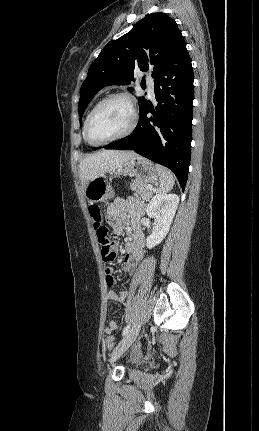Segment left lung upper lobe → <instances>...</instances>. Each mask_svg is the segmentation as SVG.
Listing matches in <instances>:
<instances>
[{"instance_id": "left-lung-upper-lobe-1", "label": "left lung upper lobe", "mask_w": 259, "mask_h": 431, "mask_svg": "<svg viewBox=\"0 0 259 431\" xmlns=\"http://www.w3.org/2000/svg\"><path fill=\"white\" fill-rule=\"evenodd\" d=\"M182 40L175 20L165 13H152L140 20L127 34L108 42L90 66L81 86L79 116H83L92 97L106 85H127L134 81L135 70H151L155 77ZM129 90L132 91V88ZM139 99L141 104L146 100L144 97Z\"/></svg>"}]
</instances>
